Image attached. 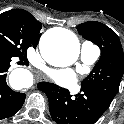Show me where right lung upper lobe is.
Instances as JSON below:
<instances>
[{
	"label": "right lung upper lobe",
	"mask_w": 124,
	"mask_h": 124,
	"mask_svg": "<svg viewBox=\"0 0 124 124\" xmlns=\"http://www.w3.org/2000/svg\"><path fill=\"white\" fill-rule=\"evenodd\" d=\"M2 15L15 20L32 38L36 45L41 36L42 23L37 21L33 15L22 9H13L2 13Z\"/></svg>",
	"instance_id": "1"
}]
</instances>
